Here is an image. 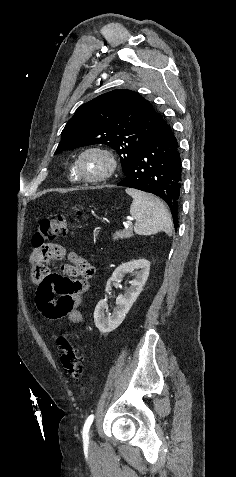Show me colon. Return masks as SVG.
Returning <instances> with one entry per match:
<instances>
[{"instance_id":"1","label":"colon","mask_w":236,"mask_h":477,"mask_svg":"<svg viewBox=\"0 0 236 477\" xmlns=\"http://www.w3.org/2000/svg\"><path fill=\"white\" fill-rule=\"evenodd\" d=\"M71 223L64 216L55 219L45 218L41 220L32 238V277L39 278L42 275V266L45 260L51 258L56 249L51 246V240L55 237L67 234ZM90 265L82 266L83 272H89ZM60 361L67 375L80 381L83 376V355L70 341L68 336L59 339Z\"/></svg>"}]
</instances>
